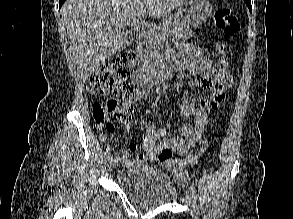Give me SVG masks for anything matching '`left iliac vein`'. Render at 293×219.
I'll use <instances>...</instances> for the list:
<instances>
[{"instance_id":"left-iliac-vein-1","label":"left iliac vein","mask_w":293,"mask_h":219,"mask_svg":"<svg viewBox=\"0 0 293 219\" xmlns=\"http://www.w3.org/2000/svg\"><path fill=\"white\" fill-rule=\"evenodd\" d=\"M186 198L189 200V202L191 204H193L194 198H193V195H192L190 188L186 192ZM191 215H192L193 219H197V211H196L195 207L192 208Z\"/></svg>"}]
</instances>
